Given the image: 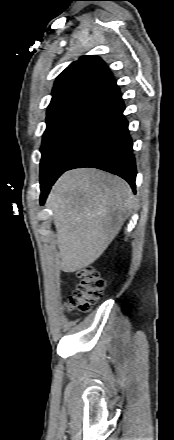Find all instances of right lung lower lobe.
I'll return each mask as SVG.
<instances>
[{"label":"right lung lower lobe","mask_w":174,"mask_h":440,"mask_svg":"<svg viewBox=\"0 0 174 440\" xmlns=\"http://www.w3.org/2000/svg\"><path fill=\"white\" fill-rule=\"evenodd\" d=\"M124 110L117 85L98 96V109L91 130L67 170L93 167L108 171L125 179L135 192L136 163ZM52 185L41 186V204L45 202Z\"/></svg>","instance_id":"obj_1"}]
</instances>
